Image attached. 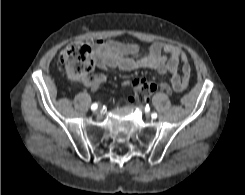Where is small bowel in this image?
I'll list each match as a JSON object with an SVG mask.
<instances>
[{
    "label": "small bowel",
    "instance_id": "obj_1",
    "mask_svg": "<svg viewBox=\"0 0 245 195\" xmlns=\"http://www.w3.org/2000/svg\"><path fill=\"white\" fill-rule=\"evenodd\" d=\"M88 48L95 64L103 71L151 68L159 75L170 74L171 83L161 84L165 91L181 92L189 84L191 66L188 56L177 46L154 42L146 51H142L135 43L93 41ZM105 79L103 74H97L87 78L83 83L92 91H96ZM124 85L127 86L128 82H124Z\"/></svg>",
    "mask_w": 245,
    "mask_h": 195
}]
</instances>
